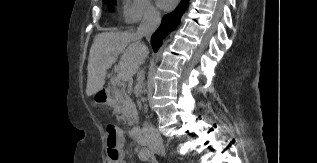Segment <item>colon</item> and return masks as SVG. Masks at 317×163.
Returning <instances> with one entry per match:
<instances>
[{
	"label": "colon",
	"mask_w": 317,
	"mask_h": 163,
	"mask_svg": "<svg viewBox=\"0 0 317 163\" xmlns=\"http://www.w3.org/2000/svg\"><path fill=\"white\" fill-rule=\"evenodd\" d=\"M107 136V152L108 156L113 162H117L121 156V152L119 150L120 136L113 126H109L106 129Z\"/></svg>",
	"instance_id": "obj_1"
}]
</instances>
